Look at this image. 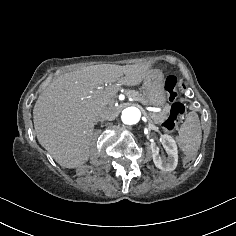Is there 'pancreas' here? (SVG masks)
I'll use <instances>...</instances> for the list:
<instances>
[{
    "mask_svg": "<svg viewBox=\"0 0 236 236\" xmlns=\"http://www.w3.org/2000/svg\"><path fill=\"white\" fill-rule=\"evenodd\" d=\"M124 94L128 98H132L135 100H143L141 94L135 90H125ZM149 115L154 119V121H156L157 119L164 121L166 119V113L163 111L160 113H150Z\"/></svg>",
    "mask_w": 236,
    "mask_h": 236,
    "instance_id": "obj_1",
    "label": "pancreas"
}]
</instances>
